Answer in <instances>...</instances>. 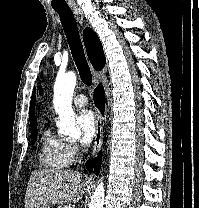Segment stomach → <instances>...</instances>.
I'll use <instances>...</instances> for the list:
<instances>
[{
    "instance_id": "stomach-1",
    "label": "stomach",
    "mask_w": 199,
    "mask_h": 208,
    "mask_svg": "<svg viewBox=\"0 0 199 208\" xmlns=\"http://www.w3.org/2000/svg\"><path fill=\"white\" fill-rule=\"evenodd\" d=\"M37 208H50V207H49V205L41 204V205H39Z\"/></svg>"
}]
</instances>
